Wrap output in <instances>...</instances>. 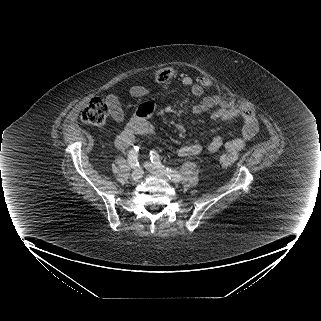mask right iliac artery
I'll use <instances>...</instances> for the list:
<instances>
[{
  "instance_id": "1",
  "label": "right iliac artery",
  "mask_w": 321,
  "mask_h": 321,
  "mask_svg": "<svg viewBox=\"0 0 321 321\" xmlns=\"http://www.w3.org/2000/svg\"><path fill=\"white\" fill-rule=\"evenodd\" d=\"M138 151H139V147L138 146H134L128 154V163L130 164V166L132 168H135L137 166H139V162H138Z\"/></svg>"
}]
</instances>
